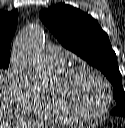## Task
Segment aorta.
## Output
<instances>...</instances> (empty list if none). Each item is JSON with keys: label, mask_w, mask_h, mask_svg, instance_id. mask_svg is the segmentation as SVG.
<instances>
[{"label": "aorta", "mask_w": 125, "mask_h": 128, "mask_svg": "<svg viewBox=\"0 0 125 128\" xmlns=\"http://www.w3.org/2000/svg\"><path fill=\"white\" fill-rule=\"evenodd\" d=\"M44 41L45 34L40 27H29L18 35L13 44V51L17 66L36 87L46 90L52 87L54 77L41 55Z\"/></svg>", "instance_id": "obj_1"}]
</instances>
